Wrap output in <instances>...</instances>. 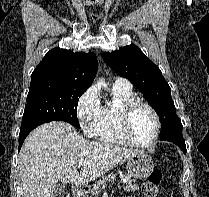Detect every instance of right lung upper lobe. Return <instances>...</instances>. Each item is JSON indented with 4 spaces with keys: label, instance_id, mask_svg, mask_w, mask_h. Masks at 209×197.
Returning a JSON list of instances; mask_svg holds the SVG:
<instances>
[{
    "label": "right lung upper lobe",
    "instance_id": "obj_1",
    "mask_svg": "<svg viewBox=\"0 0 209 197\" xmlns=\"http://www.w3.org/2000/svg\"><path fill=\"white\" fill-rule=\"evenodd\" d=\"M97 57L93 53L50 50L31 75V82L52 81L76 83L89 87L96 76Z\"/></svg>",
    "mask_w": 209,
    "mask_h": 197
}]
</instances>
